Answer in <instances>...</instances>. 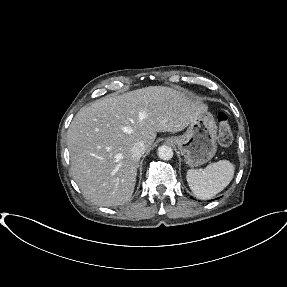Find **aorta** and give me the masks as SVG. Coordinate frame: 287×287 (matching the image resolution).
I'll return each mask as SVG.
<instances>
[{
  "instance_id": "aorta-1",
  "label": "aorta",
  "mask_w": 287,
  "mask_h": 287,
  "mask_svg": "<svg viewBox=\"0 0 287 287\" xmlns=\"http://www.w3.org/2000/svg\"><path fill=\"white\" fill-rule=\"evenodd\" d=\"M158 156L162 160H170L173 157V149L170 146L162 145L158 148Z\"/></svg>"
}]
</instances>
